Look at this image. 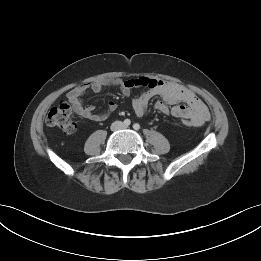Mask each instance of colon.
<instances>
[{
	"mask_svg": "<svg viewBox=\"0 0 261 261\" xmlns=\"http://www.w3.org/2000/svg\"><path fill=\"white\" fill-rule=\"evenodd\" d=\"M47 123L51 127L61 129L67 134H72L76 130V124L73 120V108L66 102H61L53 107L47 116ZM182 123L186 126H192L189 119H182Z\"/></svg>",
	"mask_w": 261,
	"mask_h": 261,
	"instance_id": "5ec220e1",
	"label": "colon"
}]
</instances>
